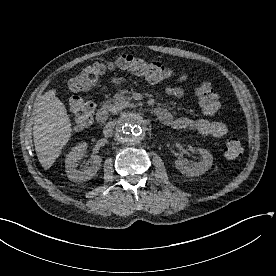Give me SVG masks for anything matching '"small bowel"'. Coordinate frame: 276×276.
<instances>
[{
	"label": "small bowel",
	"mask_w": 276,
	"mask_h": 276,
	"mask_svg": "<svg viewBox=\"0 0 276 276\" xmlns=\"http://www.w3.org/2000/svg\"><path fill=\"white\" fill-rule=\"evenodd\" d=\"M187 79L186 75H181L174 79L165 87L167 94L176 98L183 99L185 91L177 83L183 82ZM167 113V118L162 121L163 124L172 127L173 129H192L204 136L214 138H221L227 134V126L221 121L209 120L205 118L191 119L187 117H176L170 111L163 109Z\"/></svg>",
	"instance_id": "1"
}]
</instances>
